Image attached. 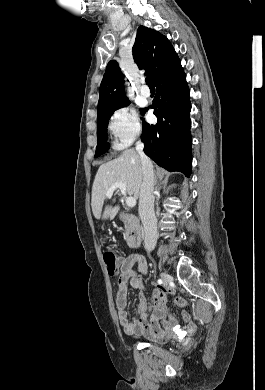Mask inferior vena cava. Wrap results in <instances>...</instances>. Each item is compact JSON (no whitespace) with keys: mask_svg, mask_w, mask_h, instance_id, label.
Instances as JSON below:
<instances>
[{"mask_svg":"<svg viewBox=\"0 0 265 390\" xmlns=\"http://www.w3.org/2000/svg\"><path fill=\"white\" fill-rule=\"evenodd\" d=\"M144 144L138 141V152L143 171V181L139 195V216L144 229V242L147 251L154 250L157 243V220L154 212V170L150 159L143 152Z\"/></svg>","mask_w":265,"mask_h":390,"instance_id":"obj_1","label":"inferior vena cava"}]
</instances>
